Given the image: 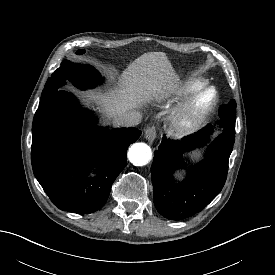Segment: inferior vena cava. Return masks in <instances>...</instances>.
<instances>
[{"label": "inferior vena cava", "instance_id": "obj_1", "mask_svg": "<svg viewBox=\"0 0 275 275\" xmlns=\"http://www.w3.org/2000/svg\"><path fill=\"white\" fill-rule=\"evenodd\" d=\"M140 120V114L135 112H125L117 118L116 123L119 126L130 127L138 125Z\"/></svg>", "mask_w": 275, "mask_h": 275}]
</instances>
